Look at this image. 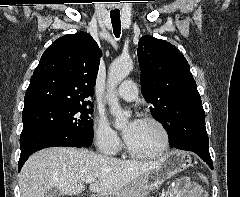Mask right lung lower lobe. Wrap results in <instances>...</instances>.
Here are the masks:
<instances>
[{"label": "right lung lower lobe", "instance_id": "98d812e1", "mask_svg": "<svg viewBox=\"0 0 240 197\" xmlns=\"http://www.w3.org/2000/svg\"><path fill=\"white\" fill-rule=\"evenodd\" d=\"M64 146V147H84L73 139L66 137L50 130H28L22 131L20 136L21 154L18 163V170L25 161L34 152L47 147Z\"/></svg>", "mask_w": 240, "mask_h": 197}]
</instances>
